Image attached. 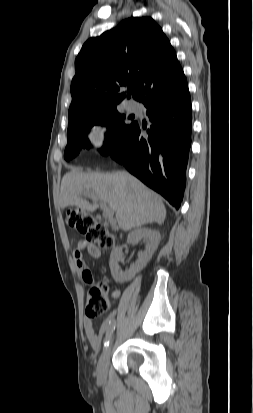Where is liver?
I'll return each mask as SVG.
<instances>
[{"label": "liver", "mask_w": 253, "mask_h": 413, "mask_svg": "<svg viewBox=\"0 0 253 413\" xmlns=\"http://www.w3.org/2000/svg\"><path fill=\"white\" fill-rule=\"evenodd\" d=\"M92 191L115 213L119 227L129 231L148 223L163 224L166 209L159 195L126 171L83 173L73 169L61 181V208L77 206L94 212L98 204H89L82 194Z\"/></svg>", "instance_id": "1"}]
</instances>
